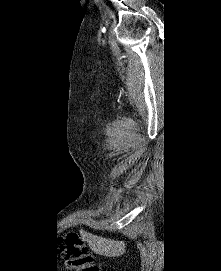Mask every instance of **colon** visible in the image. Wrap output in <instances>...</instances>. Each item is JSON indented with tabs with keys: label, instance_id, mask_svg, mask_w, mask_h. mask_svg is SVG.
Here are the masks:
<instances>
[{
	"label": "colon",
	"instance_id": "5ec220e1",
	"mask_svg": "<svg viewBox=\"0 0 221 271\" xmlns=\"http://www.w3.org/2000/svg\"><path fill=\"white\" fill-rule=\"evenodd\" d=\"M60 244L62 250L75 271H101L100 264L89 254L84 241L75 232L63 235Z\"/></svg>",
	"mask_w": 221,
	"mask_h": 271
}]
</instances>
